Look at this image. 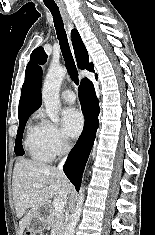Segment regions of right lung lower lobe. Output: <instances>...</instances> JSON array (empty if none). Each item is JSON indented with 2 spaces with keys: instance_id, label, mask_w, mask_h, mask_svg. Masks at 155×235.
<instances>
[{
  "instance_id": "obj_1",
  "label": "right lung lower lobe",
  "mask_w": 155,
  "mask_h": 235,
  "mask_svg": "<svg viewBox=\"0 0 155 235\" xmlns=\"http://www.w3.org/2000/svg\"><path fill=\"white\" fill-rule=\"evenodd\" d=\"M95 76L97 78V75ZM79 98L81 99V108L85 115V126L64 165V172L72 184L75 185L77 191H79L82 173L99 126L98 115L100 109L98 99L93 83L87 78H84L79 86Z\"/></svg>"
}]
</instances>
